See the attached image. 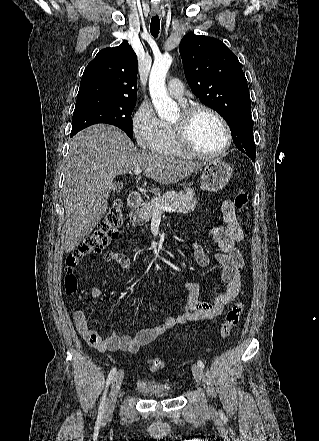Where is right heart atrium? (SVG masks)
<instances>
[{"mask_svg": "<svg viewBox=\"0 0 319 441\" xmlns=\"http://www.w3.org/2000/svg\"><path fill=\"white\" fill-rule=\"evenodd\" d=\"M131 129L137 145L144 151H154L161 141L162 121L147 102L141 103L134 112Z\"/></svg>", "mask_w": 319, "mask_h": 441, "instance_id": "1", "label": "right heart atrium"}]
</instances>
